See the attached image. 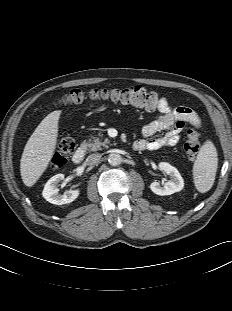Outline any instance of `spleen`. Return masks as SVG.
Masks as SVG:
<instances>
[{"label":"spleen","mask_w":232,"mask_h":311,"mask_svg":"<svg viewBox=\"0 0 232 311\" xmlns=\"http://www.w3.org/2000/svg\"><path fill=\"white\" fill-rule=\"evenodd\" d=\"M218 168L217 150L213 142L207 140L200 148L193 165V179L196 189L205 193L215 181Z\"/></svg>","instance_id":"1"}]
</instances>
